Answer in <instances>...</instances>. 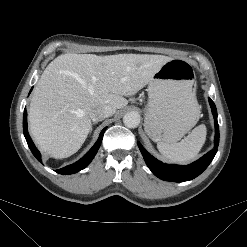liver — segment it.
Here are the masks:
<instances>
[{"instance_id":"1","label":"liver","mask_w":247,"mask_h":247,"mask_svg":"<svg viewBox=\"0 0 247 247\" xmlns=\"http://www.w3.org/2000/svg\"><path fill=\"white\" fill-rule=\"evenodd\" d=\"M173 58L148 54L67 53L44 70L29 107L30 133L45 154L67 158L85 142L90 112L100 106L122 109Z\"/></svg>"}]
</instances>
